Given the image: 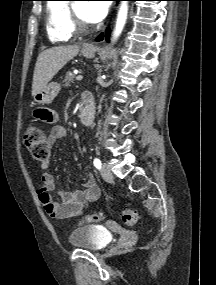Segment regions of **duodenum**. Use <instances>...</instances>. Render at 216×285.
Here are the masks:
<instances>
[{"label": "duodenum", "instance_id": "1", "mask_svg": "<svg viewBox=\"0 0 216 285\" xmlns=\"http://www.w3.org/2000/svg\"><path fill=\"white\" fill-rule=\"evenodd\" d=\"M95 115L93 105L87 101L80 109V120L83 124L89 125L92 123Z\"/></svg>", "mask_w": 216, "mask_h": 285}]
</instances>
